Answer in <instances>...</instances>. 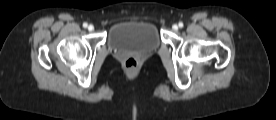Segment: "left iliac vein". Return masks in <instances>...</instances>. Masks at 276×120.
<instances>
[{"label": "left iliac vein", "instance_id": "left-iliac-vein-1", "mask_svg": "<svg viewBox=\"0 0 276 120\" xmlns=\"http://www.w3.org/2000/svg\"><path fill=\"white\" fill-rule=\"evenodd\" d=\"M172 28H173V30H178V26L176 25V24H174L173 26H172Z\"/></svg>", "mask_w": 276, "mask_h": 120}]
</instances>
